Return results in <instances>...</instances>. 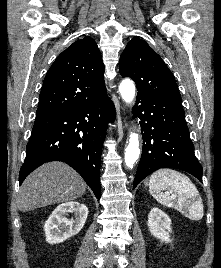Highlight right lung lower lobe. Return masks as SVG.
<instances>
[{
  "label": "right lung lower lobe",
  "instance_id": "1",
  "mask_svg": "<svg viewBox=\"0 0 221 268\" xmlns=\"http://www.w3.org/2000/svg\"><path fill=\"white\" fill-rule=\"evenodd\" d=\"M114 120V105L107 94L89 104L36 115L19 183L43 163L63 161L83 177L99 200L102 146L106 126Z\"/></svg>",
  "mask_w": 221,
  "mask_h": 268
}]
</instances>
